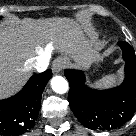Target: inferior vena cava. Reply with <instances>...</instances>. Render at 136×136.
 Returning a JSON list of instances; mask_svg holds the SVG:
<instances>
[{
  "label": "inferior vena cava",
  "instance_id": "602c4592",
  "mask_svg": "<svg viewBox=\"0 0 136 136\" xmlns=\"http://www.w3.org/2000/svg\"><path fill=\"white\" fill-rule=\"evenodd\" d=\"M49 63V57L47 55L37 56L32 60V66L38 71L42 72L46 70Z\"/></svg>",
  "mask_w": 136,
  "mask_h": 136
}]
</instances>
